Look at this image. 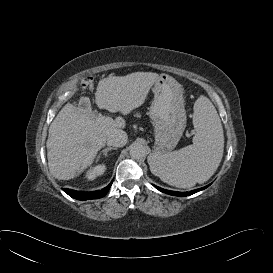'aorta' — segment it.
<instances>
[{
    "mask_svg": "<svg viewBox=\"0 0 273 273\" xmlns=\"http://www.w3.org/2000/svg\"><path fill=\"white\" fill-rule=\"evenodd\" d=\"M130 156L133 159H142L146 156V148L140 143H133L130 146Z\"/></svg>",
    "mask_w": 273,
    "mask_h": 273,
    "instance_id": "762f6f07",
    "label": "aorta"
}]
</instances>
